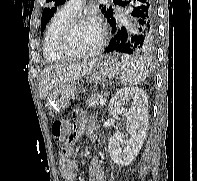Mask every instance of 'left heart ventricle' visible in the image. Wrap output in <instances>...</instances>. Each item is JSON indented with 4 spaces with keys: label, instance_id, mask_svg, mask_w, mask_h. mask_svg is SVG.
<instances>
[{
    "label": "left heart ventricle",
    "instance_id": "b2bd125f",
    "mask_svg": "<svg viewBox=\"0 0 197 181\" xmlns=\"http://www.w3.org/2000/svg\"><path fill=\"white\" fill-rule=\"evenodd\" d=\"M100 38V28L93 21L79 24L72 32L69 47L74 52H88L96 47Z\"/></svg>",
    "mask_w": 197,
    "mask_h": 181
}]
</instances>
